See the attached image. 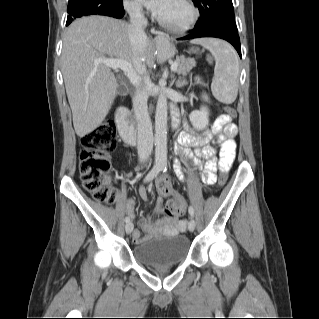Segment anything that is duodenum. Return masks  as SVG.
Returning <instances> with one entry per match:
<instances>
[{"instance_id": "obj_1", "label": "duodenum", "mask_w": 319, "mask_h": 319, "mask_svg": "<svg viewBox=\"0 0 319 319\" xmlns=\"http://www.w3.org/2000/svg\"><path fill=\"white\" fill-rule=\"evenodd\" d=\"M116 122L122 141L127 145H135L138 142V131L131 120L130 112L125 107H119L116 113ZM176 127V124L173 125Z\"/></svg>"}]
</instances>
